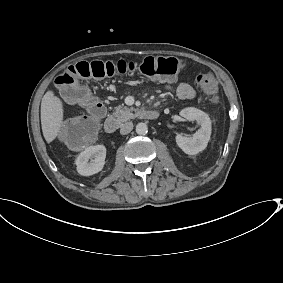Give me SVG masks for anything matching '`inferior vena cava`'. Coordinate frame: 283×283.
<instances>
[{"mask_svg":"<svg viewBox=\"0 0 283 283\" xmlns=\"http://www.w3.org/2000/svg\"><path fill=\"white\" fill-rule=\"evenodd\" d=\"M133 129V123L132 122H127L121 125L120 127V134L125 135L131 132Z\"/></svg>","mask_w":283,"mask_h":283,"instance_id":"1","label":"inferior vena cava"}]
</instances>
